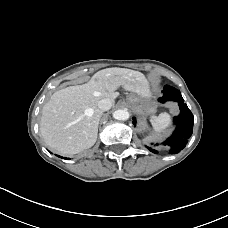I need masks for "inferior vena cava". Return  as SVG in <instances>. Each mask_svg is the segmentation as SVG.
Listing matches in <instances>:
<instances>
[{
  "label": "inferior vena cava",
  "mask_w": 228,
  "mask_h": 228,
  "mask_svg": "<svg viewBox=\"0 0 228 228\" xmlns=\"http://www.w3.org/2000/svg\"><path fill=\"white\" fill-rule=\"evenodd\" d=\"M112 101L109 98H103L98 102V108L102 111H107L112 107Z\"/></svg>",
  "instance_id": "1"
}]
</instances>
